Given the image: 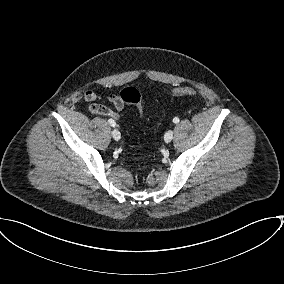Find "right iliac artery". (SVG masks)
I'll list each match as a JSON object with an SVG mask.
<instances>
[{"label": "right iliac artery", "instance_id": "right-iliac-artery-1", "mask_svg": "<svg viewBox=\"0 0 284 284\" xmlns=\"http://www.w3.org/2000/svg\"><path fill=\"white\" fill-rule=\"evenodd\" d=\"M108 122L112 127H114L116 125V123L113 119H109Z\"/></svg>", "mask_w": 284, "mask_h": 284}]
</instances>
